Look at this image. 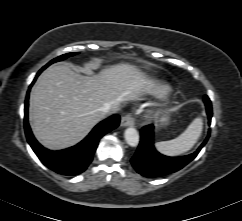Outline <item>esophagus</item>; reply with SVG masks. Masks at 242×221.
<instances>
[{
	"instance_id": "esophagus-1",
	"label": "esophagus",
	"mask_w": 242,
	"mask_h": 221,
	"mask_svg": "<svg viewBox=\"0 0 242 221\" xmlns=\"http://www.w3.org/2000/svg\"><path fill=\"white\" fill-rule=\"evenodd\" d=\"M134 125V119L130 114H127L122 117L121 119V126L127 127V126H133Z\"/></svg>"
}]
</instances>
